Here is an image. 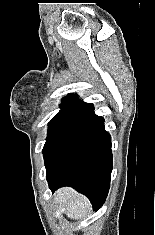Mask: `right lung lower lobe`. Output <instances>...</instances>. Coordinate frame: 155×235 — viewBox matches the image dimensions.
I'll return each mask as SVG.
<instances>
[{"label":"right lung lower lobe","mask_w":155,"mask_h":235,"mask_svg":"<svg viewBox=\"0 0 155 235\" xmlns=\"http://www.w3.org/2000/svg\"><path fill=\"white\" fill-rule=\"evenodd\" d=\"M97 118L99 120L71 142L46 169L52 191L63 186L73 187L89 198L95 210L107 197L112 171L111 137L104 129L103 118Z\"/></svg>","instance_id":"obj_1"}]
</instances>
